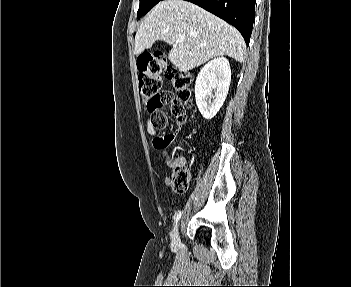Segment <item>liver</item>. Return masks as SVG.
I'll use <instances>...</instances> for the list:
<instances>
[{
    "mask_svg": "<svg viewBox=\"0 0 351 287\" xmlns=\"http://www.w3.org/2000/svg\"><path fill=\"white\" fill-rule=\"evenodd\" d=\"M157 40L172 45L168 58L180 72L217 56L241 63L246 57L245 41L235 27L184 0L161 1L146 15L135 35L134 53L140 55Z\"/></svg>",
    "mask_w": 351,
    "mask_h": 287,
    "instance_id": "obj_1",
    "label": "liver"
}]
</instances>
